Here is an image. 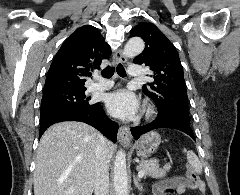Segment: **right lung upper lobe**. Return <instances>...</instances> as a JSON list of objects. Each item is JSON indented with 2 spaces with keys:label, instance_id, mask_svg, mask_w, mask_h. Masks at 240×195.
Wrapping results in <instances>:
<instances>
[{
  "label": "right lung upper lobe",
  "instance_id": "obj_1",
  "mask_svg": "<svg viewBox=\"0 0 240 195\" xmlns=\"http://www.w3.org/2000/svg\"><path fill=\"white\" fill-rule=\"evenodd\" d=\"M111 54L110 46L91 25L78 28L63 43L47 74L43 95L60 91L86 89L85 77Z\"/></svg>",
  "mask_w": 240,
  "mask_h": 195
}]
</instances>
